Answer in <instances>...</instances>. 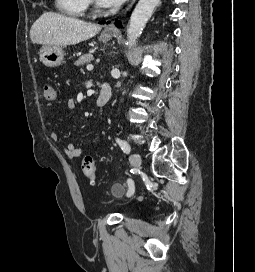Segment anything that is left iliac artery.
<instances>
[{"mask_svg":"<svg viewBox=\"0 0 255 272\" xmlns=\"http://www.w3.org/2000/svg\"><path fill=\"white\" fill-rule=\"evenodd\" d=\"M116 142L121 147V149L123 150L124 153L128 154L130 152L131 148L126 141L121 140L120 138H116ZM126 185L129 188L127 196L134 195L135 194L134 185H133V180L131 178H128Z\"/></svg>","mask_w":255,"mask_h":272,"instance_id":"left-iliac-artery-1","label":"left iliac artery"}]
</instances>
